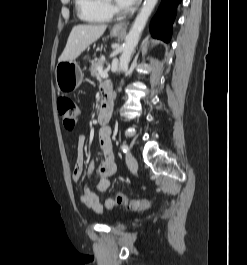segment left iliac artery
Returning a JSON list of instances; mask_svg holds the SVG:
<instances>
[{"mask_svg":"<svg viewBox=\"0 0 247 265\" xmlns=\"http://www.w3.org/2000/svg\"><path fill=\"white\" fill-rule=\"evenodd\" d=\"M121 150H122L124 153H126V152L129 150V148H128V146H127L126 144H123V145L121 146Z\"/></svg>","mask_w":247,"mask_h":265,"instance_id":"44dca946","label":"left iliac artery"}]
</instances>
